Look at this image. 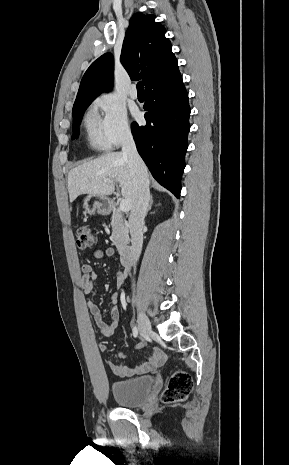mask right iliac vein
<instances>
[{
  "instance_id": "1",
  "label": "right iliac vein",
  "mask_w": 289,
  "mask_h": 465,
  "mask_svg": "<svg viewBox=\"0 0 289 465\" xmlns=\"http://www.w3.org/2000/svg\"><path fill=\"white\" fill-rule=\"evenodd\" d=\"M138 327L143 339H148L152 336L153 330L150 321L142 310H138Z\"/></svg>"
}]
</instances>
